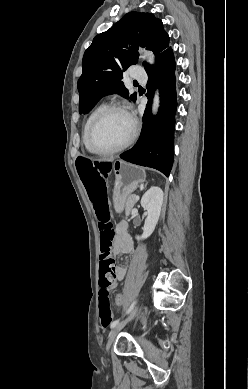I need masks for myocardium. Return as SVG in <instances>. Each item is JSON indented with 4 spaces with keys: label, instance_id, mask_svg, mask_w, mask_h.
<instances>
[{
    "label": "myocardium",
    "instance_id": "obj_1",
    "mask_svg": "<svg viewBox=\"0 0 248 389\" xmlns=\"http://www.w3.org/2000/svg\"><path fill=\"white\" fill-rule=\"evenodd\" d=\"M112 111H120L122 113H124L131 121L132 123V132H131V135L129 136V138L124 142L122 143L121 145H119L118 147L116 148H113V149H110V150H99V149H96L93 147L92 145V141H91V138H92V133H93V130L94 128L96 127V125L98 124V122L106 115L108 114L109 112H112ZM138 133H139V124H138V121L137 119L129 112V110L122 104L120 103H111V104H108V105H105L96 115L95 117L93 118V120L91 121L90 125H89V128H88V132H87V145H88V148L89 150L92 152V153H95L97 155H101V156H110V155H114V154H117L123 150H125L126 148H128L134 141L135 139L137 138L138 136Z\"/></svg>",
    "mask_w": 248,
    "mask_h": 389
}]
</instances>
